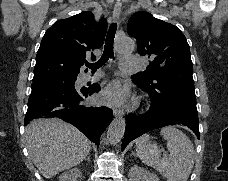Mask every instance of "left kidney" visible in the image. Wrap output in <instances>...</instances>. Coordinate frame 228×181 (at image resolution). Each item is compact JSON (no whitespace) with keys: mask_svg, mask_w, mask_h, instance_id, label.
Here are the masks:
<instances>
[{"mask_svg":"<svg viewBox=\"0 0 228 181\" xmlns=\"http://www.w3.org/2000/svg\"><path fill=\"white\" fill-rule=\"evenodd\" d=\"M129 181H159L157 175L145 171L139 165H133L129 171Z\"/></svg>","mask_w":228,"mask_h":181,"instance_id":"obj_1","label":"left kidney"}]
</instances>
